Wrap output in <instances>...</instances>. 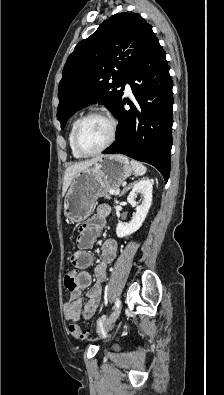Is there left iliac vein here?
Listing matches in <instances>:
<instances>
[{"instance_id":"left-iliac-vein-1","label":"left iliac vein","mask_w":224,"mask_h":395,"mask_svg":"<svg viewBox=\"0 0 224 395\" xmlns=\"http://www.w3.org/2000/svg\"><path fill=\"white\" fill-rule=\"evenodd\" d=\"M120 312H121V303L119 306L114 307V311L112 312L110 317L103 322L102 327L109 328L116 321Z\"/></svg>"}]
</instances>
